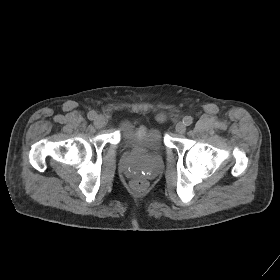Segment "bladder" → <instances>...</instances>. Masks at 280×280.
<instances>
[{"label": "bladder", "instance_id": "1", "mask_svg": "<svg viewBox=\"0 0 280 280\" xmlns=\"http://www.w3.org/2000/svg\"><path fill=\"white\" fill-rule=\"evenodd\" d=\"M121 141L127 148H141L157 153L164 149L163 137L158 128L136 125L130 121L122 124Z\"/></svg>", "mask_w": 280, "mask_h": 280}]
</instances>
